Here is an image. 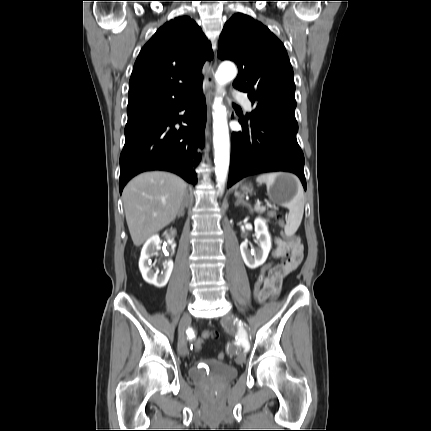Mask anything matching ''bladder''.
Masks as SVG:
<instances>
[{
	"instance_id": "31cf9c89",
	"label": "bladder",
	"mask_w": 431,
	"mask_h": 431,
	"mask_svg": "<svg viewBox=\"0 0 431 431\" xmlns=\"http://www.w3.org/2000/svg\"><path fill=\"white\" fill-rule=\"evenodd\" d=\"M237 369L225 362L204 359L189 369V376L197 381L223 383L236 378Z\"/></svg>"
}]
</instances>
